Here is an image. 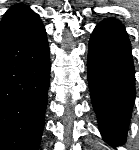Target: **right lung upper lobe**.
<instances>
[{"mask_svg": "<svg viewBox=\"0 0 139 150\" xmlns=\"http://www.w3.org/2000/svg\"><path fill=\"white\" fill-rule=\"evenodd\" d=\"M29 9L30 8L27 7L25 4H15L11 6L10 9H8L4 14L0 26L4 25L5 23H8L10 20Z\"/></svg>", "mask_w": 139, "mask_h": 150, "instance_id": "right-lung-upper-lobe-1", "label": "right lung upper lobe"}]
</instances>
